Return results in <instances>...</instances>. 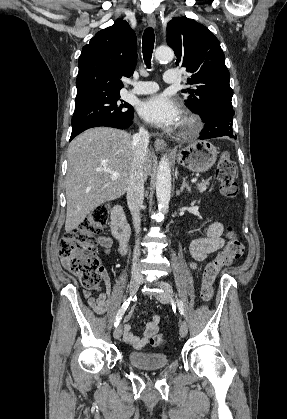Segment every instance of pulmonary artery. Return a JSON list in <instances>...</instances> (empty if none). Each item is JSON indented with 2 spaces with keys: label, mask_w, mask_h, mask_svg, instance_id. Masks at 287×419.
Instances as JSON below:
<instances>
[{
  "label": "pulmonary artery",
  "mask_w": 287,
  "mask_h": 419,
  "mask_svg": "<svg viewBox=\"0 0 287 419\" xmlns=\"http://www.w3.org/2000/svg\"><path fill=\"white\" fill-rule=\"evenodd\" d=\"M164 82L168 84L177 82V73L175 70H167L163 76ZM133 93L135 94H150L158 90L159 86L154 81H138L132 82Z\"/></svg>",
  "instance_id": "pulmonary-artery-1"
}]
</instances>
